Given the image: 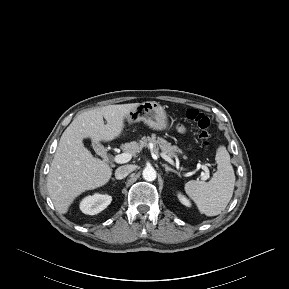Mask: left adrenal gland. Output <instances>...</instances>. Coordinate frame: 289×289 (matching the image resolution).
Segmentation results:
<instances>
[{"mask_svg":"<svg viewBox=\"0 0 289 289\" xmlns=\"http://www.w3.org/2000/svg\"><path fill=\"white\" fill-rule=\"evenodd\" d=\"M162 166L165 167V170H166L167 173H168V172H173V173L178 174L177 171H175L174 169L170 168L168 165L162 164ZM178 175H179V174H178Z\"/></svg>","mask_w":289,"mask_h":289,"instance_id":"a2214340","label":"left adrenal gland"}]
</instances>
